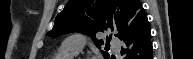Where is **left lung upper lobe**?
<instances>
[{
    "label": "left lung upper lobe",
    "instance_id": "1",
    "mask_svg": "<svg viewBox=\"0 0 193 59\" xmlns=\"http://www.w3.org/2000/svg\"><path fill=\"white\" fill-rule=\"evenodd\" d=\"M142 11L139 0H69L46 35L87 34L100 49L104 42L96 39L97 32L111 29L118 32L115 36L121 39L135 16ZM101 52L105 56V52Z\"/></svg>",
    "mask_w": 193,
    "mask_h": 59
}]
</instances>
